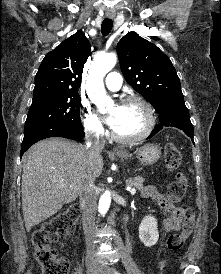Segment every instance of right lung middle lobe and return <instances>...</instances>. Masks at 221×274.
<instances>
[{
	"mask_svg": "<svg viewBox=\"0 0 221 274\" xmlns=\"http://www.w3.org/2000/svg\"><path fill=\"white\" fill-rule=\"evenodd\" d=\"M48 125H62L83 130L78 93L33 99L24 133Z\"/></svg>",
	"mask_w": 221,
	"mask_h": 274,
	"instance_id": "1",
	"label": "right lung middle lobe"
}]
</instances>
